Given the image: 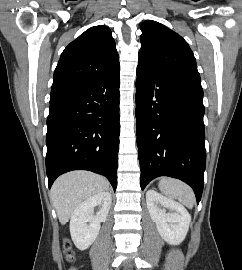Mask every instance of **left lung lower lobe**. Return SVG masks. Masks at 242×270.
<instances>
[{"label": "left lung lower lobe", "instance_id": "left-lung-lower-lobe-1", "mask_svg": "<svg viewBox=\"0 0 242 270\" xmlns=\"http://www.w3.org/2000/svg\"><path fill=\"white\" fill-rule=\"evenodd\" d=\"M203 90L137 66L136 127L141 189L170 176L190 185L199 203L206 164Z\"/></svg>", "mask_w": 242, "mask_h": 270}]
</instances>
